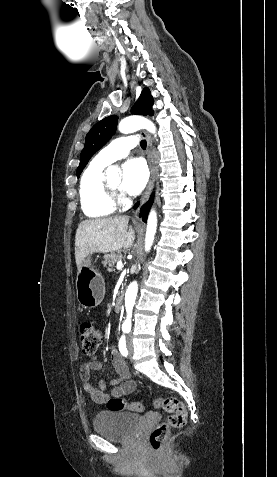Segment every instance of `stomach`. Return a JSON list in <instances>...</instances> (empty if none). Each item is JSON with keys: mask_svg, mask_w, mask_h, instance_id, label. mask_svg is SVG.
I'll return each mask as SVG.
<instances>
[{"mask_svg": "<svg viewBox=\"0 0 277 477\" xmlns=\"http://www.w3.org/2000/svg\"><path fill=\"white\" fill-rule=\"evenodd\" d=\"M76 295L79 304L84 308L96 307L104 298V280L94 269L90 256L85 258L78 270L76 277Z\"/></svg>", "mask_w": 277, "mask_h": 477, "instance_id": "stomach-1", "label": "stomach"}]
</instances>
